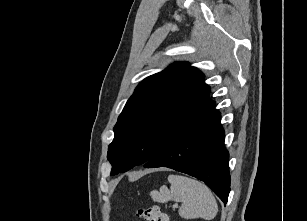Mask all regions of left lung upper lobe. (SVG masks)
<instances>
[{"instance_id": "left-lung-upper-lobe-1", "label": "left lung upper lobe", "mask_w": 307, "mask_h": 221, "mask_svg": "<svg viewBox=\"0 0 307 221\" xmlns=\"http://www.w3.org/2000/svg\"><path fill=\"white\" fill-rule=\"evenodd\" d=\"M204 75L185 62L145 78L127 101L108 147L111 175L145 164L215 102Z\"/></svg>"}]
</instances>
